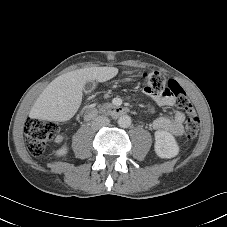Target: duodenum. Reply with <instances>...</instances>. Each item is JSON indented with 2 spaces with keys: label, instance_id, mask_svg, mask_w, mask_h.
Listing matches in <instances>:
<instances>
[{
  "label": "duodenum",
  "instance_id": "1",
  "mask_svg": "<svg viewBox=\"0 0 227 227\" xmlns=\"http://www.w3.org/2000/svg\"><path fill=\"white\" fill-rule=\"evenodd\" d=\"M98 113V110L89 107L85 110L84 116L87 120H92L98 115ZM105 113L112 117H120L126 115L128 110L121 106H114L105 110Z\"/></svg>",
  "mask_w": 227,
  "mask_h": 227
}]
</instances>
